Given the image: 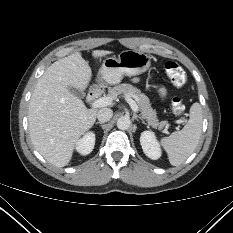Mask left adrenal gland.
Instances as JSON below:
<instances>
[{
	"mask_svg": "<svg viewBox=\"0 0 233 233\" xmlns=\"http://www.w3.org/2000/svg\"><path fill=\"white\" fill-rule=\"evenodd\" d=\"M133 119H140L142 121V123H145L144 119L141 116H139V115H137L135 113L133 114Z\"/></svg>",
	"mask_w": 233,
	"mask_h": 233,
	"instance_id": "obj_1",
	"label": "left adrenal gland"
}]
</instances>
